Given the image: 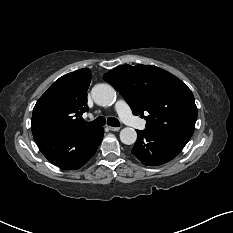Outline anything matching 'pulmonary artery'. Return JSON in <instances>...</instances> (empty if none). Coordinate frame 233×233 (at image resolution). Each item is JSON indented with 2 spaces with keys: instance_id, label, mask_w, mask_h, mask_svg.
<instances>
[{
  "instance_id": "1",
  "label": "pulmonary artery",
  "mask_w": 233,
  "mask_h": 233,
  "mask_svg": "<svg viewBox=\"0 0 233 233\" xmlns=\"http://www.w3.org/2000/svg\"><path fill=\"white\" fill-rule=\"evenodd\" d=\"M115 110L118 113V115L120 116L121 120L133 127V128H137V129H144L146 126V122L144 120H141L137 117H135L130 108L129 105L124 101V100H119L117 101V103L115 104Z\"/></svg>"
}]
</instances>
